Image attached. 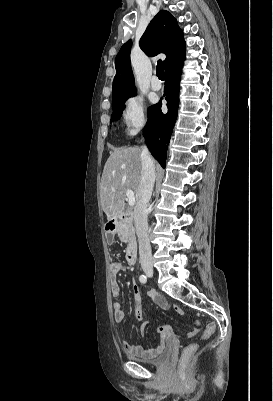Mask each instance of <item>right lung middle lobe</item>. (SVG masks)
I'll return each mask as SVG.
<instances>
[{"instance_id":"right-lung-middle-lobe-1","label":"right lung middle lobe","mask_w":273,"mask_h":401,"mask_svg":"<svg viewBox=\"0 0 273 401\" xmlns=\"http://www.w3.org/2000/svg\"><path fill=\"white\" fill-rule=\"evenodd\" d=\"M124 103H125V101L122 104H120L119 106L113 107V113L111 115V121L118 120L121 117ZM149 111H150V109H149Z\"/></svg>"}]
</instances>
